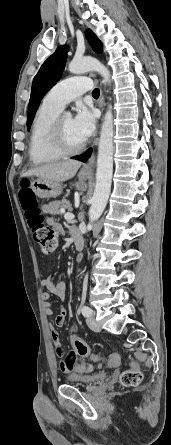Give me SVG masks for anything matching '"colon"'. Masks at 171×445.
<instances>
[{
  "mask_svg": "<svg viewBox=\"0 0 171 445\" xmlns=\"http://www.w3.org/2000/svg\"><path fill=\"white\" fill-rule=\"evenodd\" d=\"M19 201L27 224L34 240L38 243L40 251L44 254L54 252L59 243V233L46 223L34 192L27 187L22 188L19 192ZM70 331L72 334L70 343L76 354L80 357H92L95 360H99V356L93 355L87 344L74 335L76 333L75 328L72 327ZM106 360L110 364H115L117 357L114 354H110L106 357ZM86 370L92 371L93 366H88ZM142 377V372L138 365L132 362L130 367L121 373L120 382L124 387H136L142 382Z\"/></svg>",
  "mask_w": 171,
  "mask_h": 445,
  "instance_id": "5ec220e1",
  "label": "colon"
}]
</instances>
